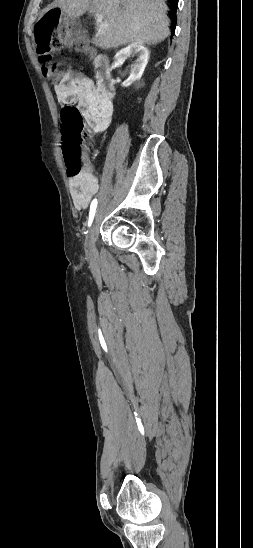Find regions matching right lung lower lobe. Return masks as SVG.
I'll list each match as a JSON object with an SVG mask.
<instances>
[{
	"instance_id": "98d812e1",
	"label": "right lung lower lobe",
	"mask_w": 253,
	"mask_h": 548,
	"mask_svg": "<svg viewBox=\"0 0 253 548\" xmlns=\"http://www.w3.org/2000/svg\"><path fill=\"white\" fill-rule=\"evenodd\" d=\"M169 3H170V6L171 8L173 9V15L171 17L174 25H173V30L175 29V26H176V10H177V4H178V0H168Z\"/></svg>"
}]
</instances>
